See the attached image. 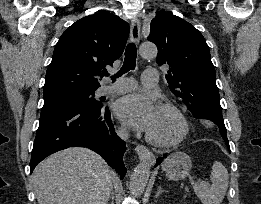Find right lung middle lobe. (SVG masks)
I'll list each match as a JSON object with an SVG mask.
<instances>
[{"label":"right lung middle lobe","mask_w":261,"mask_h":204,"mask_svg":"<svg viewBox=\"0 0 261 204\" xmlns=\"http://www.w3.org/2000/svg\"><path fill=\"white\" fill-rule=\"evenodd\" d=\"M94 91H63L44 95V106H52L65 103H97Z\"/></svg>","instance_id":"dd1d6c3e"}]
</instances>
